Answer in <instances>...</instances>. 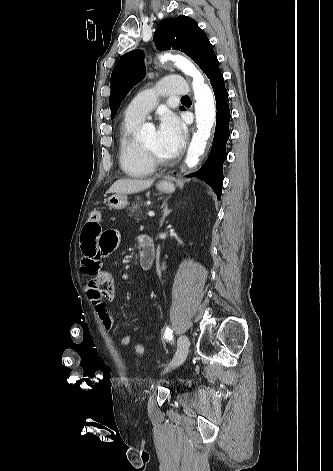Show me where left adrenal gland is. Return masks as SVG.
Wrapping results in <instances>:
<instances>
[{
  "label": "left adrenal gland",
  "mask_w": 333,
  "mask_h": 471,
  "mask_svg": "<svg viewBox=\"0 0 333 471\" xmlns=\"http://www.w3.org/2000/svg\"><path fill=\"white\" fill-rule=\"evenodd\" d=\"M162 209H163V210H162L163 214H162V218H161V221H160V227L163 226V223H164L165 218H166V217L168 216V214L172 211V210H169V209H168V205H167L166 203L163 204Z\"/></svg>",
  "instance_id": "left-adrenal-gland-1"
}]
</instances>
